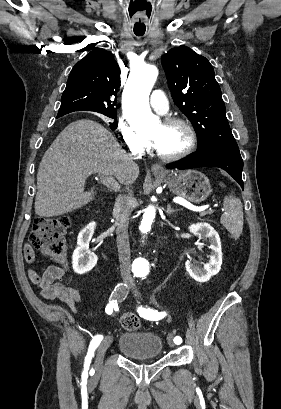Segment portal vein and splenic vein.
<instances>
[{"mask_svg":"<svg viewBox=\"0 0 281 409\" xmlns=\"http://www.w3.org/2000/svg\"><path fill=\"white\" fill-rule=\"evenodd\" d=\"M98 183L100 185H104L108 191H113L114 189H120L122 185L120 180H115V178H113V176H110V174H105V176H100L98 178ZM216 213H218V210L216 209H204L202 210V213H200V216L207 217L208 214H216Z\"/></svg>","mask_w":281,"mask_h":409,"instance_id":"1","label":"portal vein and splenic vein"}]
</instances>
